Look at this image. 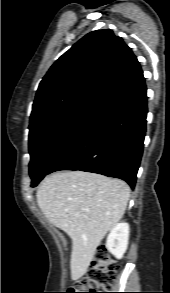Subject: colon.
<instances>
[{
    "label": "colon",
    "instance_id": "obj_1",
    "mask_svg": "<svg viewBox=\"0 0 170 293\" xmlns=\"http://www.w3.org/2000/svg\"><path fill=\"white\" fill-rule=\"evenodd\" d=\"M115 261L108 255L107 249L99 247L88 267L86 276L76 281L69 289L70 293H107L115 282Z\"/></svg>",
    "mask_w": 170,
    "mask_h": 293
}]
</instances>
